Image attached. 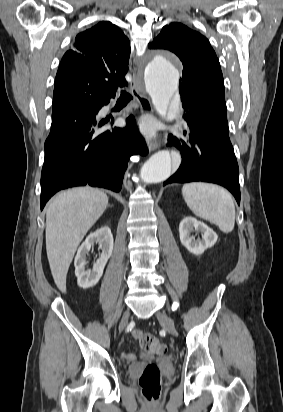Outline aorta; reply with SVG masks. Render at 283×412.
<instances>
[{
	"mask_svg": "<svg viewBox=\"0 0 283 412\" xmlns=\"http://www.w3.org/2000/svg\"><path fill=\"white\" fill-rule=\"evenodd\" d=\"M146 90L157 113L170 118V107L178 92L179 72L163 52H157L147 63L144 74ZM172 173V159L169 151L152 155L141 170L145 183H159Z\"/></svg>",
	"mask_w": 283,
	"mask_h": 412,
	"instance_id": "obj_1",
	"label": "aorta"
}]
</instances>
